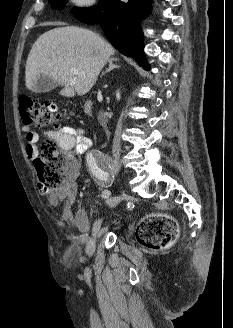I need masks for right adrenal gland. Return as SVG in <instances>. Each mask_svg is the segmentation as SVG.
I'll use <instances>...</instances> for the list:
<instances>
[{"label": "right adrenal gland", "mask_w": 233, "mask_h": 328, "mask_svg": "<svg viewBox=\"0 0 233 328\" xmlns=\"http://www.w3.org/2000/svg\"><path fill=\"white\" fill-rule=\"evenodd\" d=\"M116 61H118V58H116V57L110 58V59L108 60L109 68H108L105 72H103V73L101 74V76H100L101 78H102L106 73L110 72L111 70H113V69H115V68H119V66H118L117 64H114V62H116Z\"/></svg>", "instance_id": "obj_1"}]
</instances>
